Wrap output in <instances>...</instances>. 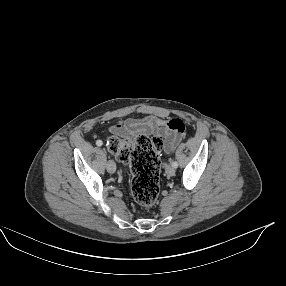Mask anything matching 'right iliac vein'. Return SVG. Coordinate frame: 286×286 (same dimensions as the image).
<instances>
[{
	"label": "right iliac vein",
	"instance_id": "1",
	"mask_svg": "<svg viewBox=\"0 0 286 286\" xmlns=\"http://www.w3.org/2000/svg\"><path fill=\"white\" fill-rule=\"evenodd\" d=\"M107 171L109 173H114L116 171V165L114 163V161L109 160L107 163Z\"/></svg>",
	"mask_w": 286,
	"mask_h": 286
}]
</instances>
